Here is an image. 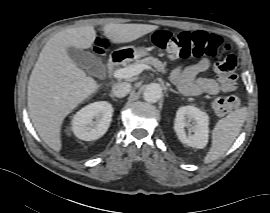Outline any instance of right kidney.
I'll use <instances>...</instances> for the list:
<instances>
[{
	"mask_svg": "<svg viewBox=\"0 0 270 213\" xmlns=\"http://www.w3.org/2000/svg\"><path fill=\"white\" fill-rule=\"evenodd\" d=\"M113 107L106 101L94 102L78 111L72 119V131L84 141L102 137L108 130Z\"/></svg>",
	"mask_w": 270,
	"mask_h": 213,
	"instance_id": "1",
	"label": "right kidney"
}]
</instances>
